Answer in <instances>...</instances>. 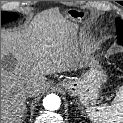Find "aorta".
Segmentation results:
<instances>
[{"label": "aorta", "instance_id": "aorta-1", "mask_svg": "<svg viewBox=\"0 0 123 123\" xmlns=\"http://www.w3.org/2000/svg\"><path fill=\"white\" fill-rule=\"evenodd\" d=\"M60 98L56 94H48L44 99H43V106L45 109L50 110V111H55L60 108L61 102Z\"/></svg>", "mask_w": 123, "mask_h": 123}]
</instances>
